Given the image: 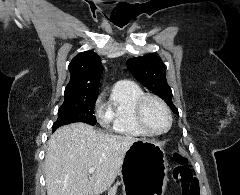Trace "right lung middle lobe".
<instances>
[{
	"label": "right lung middle lobe",
	"mask_w": 240,
	"mask_h": 195,
	"mask_svg": "<svg viewBox=\"0 0 240 195\" xmlns=\"http://www.w3.org/2000/svg\"><path fill=\"white\" fill-rule=\"evenodd\" d=\"M97 97H79L65 99L58 111V119L53 125V131L58 127L75 122L90 125L97 123L93 115Z\"/></svg>",
	"instance_id": "dd1d6c3e"
}]
</instances>
